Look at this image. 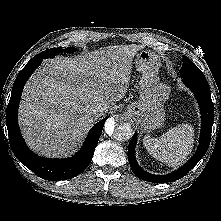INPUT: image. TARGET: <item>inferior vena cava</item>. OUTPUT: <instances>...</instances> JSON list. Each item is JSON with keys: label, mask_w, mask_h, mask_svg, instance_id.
<instances>
[{"label": "inferior vena cava", "mask_w": 221, "mask_h": 221, "mask_svg": "<svg viewBox=\"0 0 221 221\" xmlns=\"http://www.w3.org/2000/svg\"><path fill=\"white\" fill-rule=\"evenodd\" d=\"M102 112V109H100V108H97L96 110H93V113H94V115L95 116H100V113Z\"/></svg>", "instance_id": "602c4592"}]
</instances>
